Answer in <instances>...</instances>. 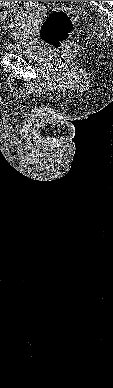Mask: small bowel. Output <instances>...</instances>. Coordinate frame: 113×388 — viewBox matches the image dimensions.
<instances>
[{
    "instance_id": "c3829d8e",
    "label": "small bowel",
    "mask_w": 113,
    "mask_h": 388,
    "mask_svg": "<svg viewBox=\"0 0 113 388\" xmlns=\"http://www.w3.org/2000/svg\"><path fill=\"white\" fill-rule=\"evenodd\" d=\"M27 3V5L23 6V4H18L16 1H0V7H7L9 8L12 12H16V22L14 23L13 27L15 24L18 22L22 21H27V20H35L37 19L38 21L41 20V16L45 10V8L41 5H39L38 1H24Z\"/></svg>"
}]
</instances>
